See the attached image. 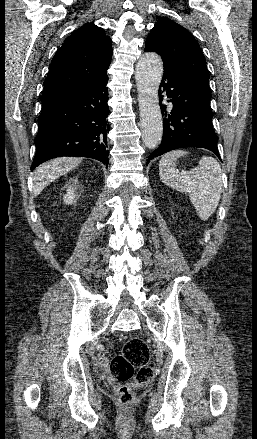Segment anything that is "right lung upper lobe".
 Segmentation results:
<instances>
[{"label": "right lung upper lobe", "instance_id": "cb5924a9", "mask_svg": "<svg viewBox=\"0 0 257 439\" xmlns=\"http://www.w3.org/2000/svg\"><path fill=\"white\" fill-rule=\"evenodd\" d=\"M111 43L104 29L93 23L71 34L52 59L41 100L105 76L112 58Z\"/></svg>", "mask_w": 257, "mask_h": 439}]
</instances>
